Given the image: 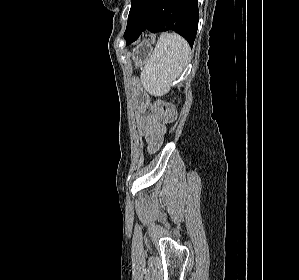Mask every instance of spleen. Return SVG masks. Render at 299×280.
Wrapping results in <instances>:
<instances>
[{"label":"spleen","mask_w":299,"mask_h":280,"mask_svg":"<svg viewBox=\"0 0 299 280\" xmlns=\"http://www.w3.org/2000/svg\"><path fill=\"white\" fill-rule=\"evenodd\" d=\"M189 57L190 47L185 39L174 33L162 34L141 72L145 90L154 96L168 93L172 81L181 74Z\"/></svg>","instance_id":"1"}]
</instances>
